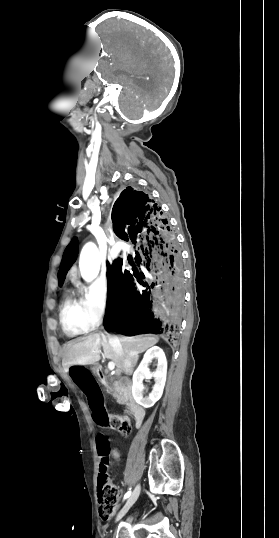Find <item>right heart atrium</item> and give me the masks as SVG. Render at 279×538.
<instances>
[{
	"mask_svg": "<svg viewBox=\"0 0 279 538\" xmlns=\"http://www.w3.org/2000/svg\"><path fill=\"white\" fill-rule=\"evenodd\" d=\"M84 314L89 330L97 328L110 310L109 292L106 286L91 284L83 293Z\"/></svg>",
	"mask_w": 279,
	"mask_h": 538,
	"instance_id": "1",
	"label": "right heart atrium"
}]
</instances>
